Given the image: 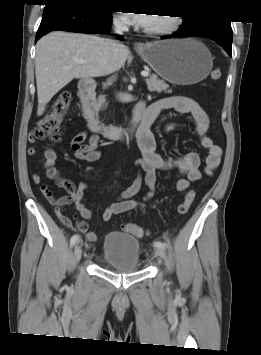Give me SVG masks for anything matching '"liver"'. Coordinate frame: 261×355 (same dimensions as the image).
Here are the masks:
<instances>
[{"label": "liver", "instance_id": "liver-1", "mask_svg": "<svg viewBox=\"0 0 261 355\" xmlns=\"http://www.w3.org/2000/svg\"><path fill=\"white\" fill-rule=\"evenodd\" d=\"M108 39L95 35L51 32L36 45L35 73L38 116L46 104L74 78L100 77L119 70L126 62L128 48L120 45L113 52ZM76 59H84L83 64Z\"/></svg>", "mask_w": 261, "mask_h": 355}]
</instances>
